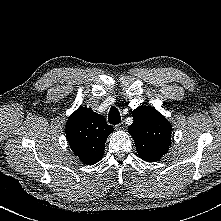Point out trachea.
<instances>
[{"mask_svg":"<svg viewBox=\"0 0 221 221\" xmlns=\"http://www.w3.org/2000/svg\"><path fill=\"white\" fill-rule=\"evenodd\" d=\"M108 121L110 124H119L121 121V116L116 107H112L109 111Z\"/></svg>","mask_w":221,"mask_h":221,"instance_id":"1","label":"trachea"}]
</instances>
